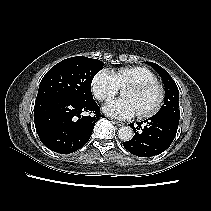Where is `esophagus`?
I'll return each mask as SVG.
<instances>
[{
  "label": "esophagus",
  "instance_id": "esophagus-1",
  "mask_svg": "<svg viewBox=\"0 0 211 211\" xmlns=\"http://www.w3.org/2000/svg\"><path fill=\"white\" fill-rule=\"evenodd\" d=\"M113 123L119 127L124 126V122L121 121H113Z\"/></svg>",
  "mask_w": 211,
  "mask_h": 211
}]
</instances>
